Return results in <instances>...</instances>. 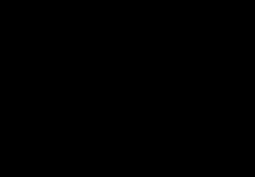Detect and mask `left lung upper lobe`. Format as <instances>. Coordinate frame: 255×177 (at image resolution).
I'll list each match as a JSON object with an SVG mask.
<instances>
[{"instance_id": "obj_1", "label": "left lung upper lobe", "mask_w": 255, "mask_h": 177, "mask_svg": "<svg viewBox=\"0 0 255 177\" xmlns=\"http://www.w3.org/2000/svg\"><path fill=\"white\" fill-rule=\"evenodd\" d=\"M151 46L159 65L157 83L159 88V102L163 112L167 115H174L177 112L181 93L178 86L169 79L166 68L173 55V48L168 40L163 37H153Z\"/></svg>"}]
</instances>
